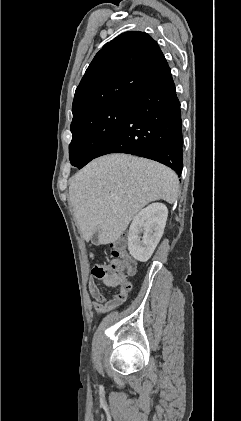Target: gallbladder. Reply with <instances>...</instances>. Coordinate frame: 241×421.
Returning <instances> with one entry per match:
<instances>
[{"label": "gallbladder", "mask_w": 241, "mask_h": 421, "mask_svg": "<svg viewBox=\"0 0 241 421\" xmlns=\"http://www.w3.org/2000/svg\"><path fill=\"white\" fill-rule=\"evenodd\" d=\"M91 242L94 245H99V240H98V231L96 230L91 238Z\"/></svg>", "instance_id": "gallbladder-1"}]
</instances>
